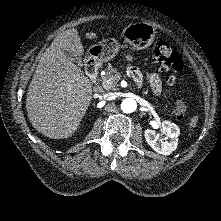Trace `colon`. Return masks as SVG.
I'll return each mask as SVG.
<instances>
[{"instance_id": "obj_1", "label": "colon", "mask_w": 221, "mask_h": 221, "mask_svg": "<svg viewBox=\"0 0 221 221\" xmlns=\"http://www.w3.org/2000/svg\"><path fill=\"white\" fill-rule=\"evenodd\" d=\"M154 60L166 72L171 74L172 79L184 70V63L179 54L164 40L156 42L154 47ZM174 114L178 119H183L186 114V103L183 99L177 101Z\"/></svg>"}]
</instances>
